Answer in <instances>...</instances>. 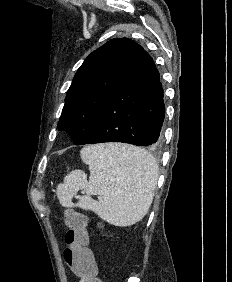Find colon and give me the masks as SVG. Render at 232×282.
I'll list each match as a JSON object with an SVG mask.
<instances>
[{
	"instance_id": "obj_1",
	"label": "colon",
	"mask_w": 232,
	"mask_h": 282,
	"mask_svg": "<svg viewBox=\"0 0 232 282\" xmlns=\"http://www.w3.org/2000/svg\"><path fill=\"white\" fill-rule=\"evenodd\" d=\"M67 226L64 260L80 282H102L97 277V266L91 249L88 247L87 217L75 210L64 212Z\"/></svg>"
}]
</instances>
